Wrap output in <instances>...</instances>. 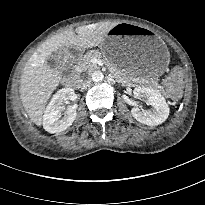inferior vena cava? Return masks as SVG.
I'll return each mask as SVG.
<instances>
[{"instance_id": "inferior-vena-cava-1", "label": "inferior vena cava", "mask_w": 205, "mask_h": 205, "mask_svg": "<svg viewBox=\"0 0 205 205\" xmlns=\"http://www.w3.org/2000/svg\"><path fill=\"white\" fill-rule=\"evenodd\" d=\"M91 82H92L91 79H87V80L83 81V83H82V89L90 88Z\"/></svg>"}]
</instances>
